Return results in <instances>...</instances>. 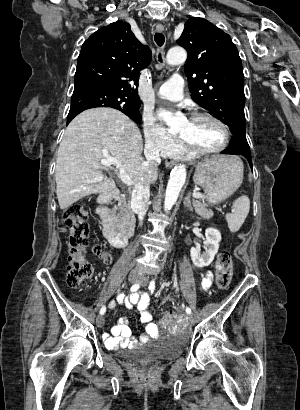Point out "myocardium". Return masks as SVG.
I'll return each instance as SVG.
<instances>
[{"mask_svg":"<svg viewBox=\"0 0 300 410\" xmlns=\"http://www.w3.org/2000/svg\"><path fill=\"white\" fill-rule=\"evenodd\" d=\"M200 119H208V120H211V121L215 122L216 124H218L221 127L222 131H223L224 140H223L222 144L219 147L215 148V149L200 150L197 147H195L194 145H192L186 139L180 137L184 147L186 148V150L190 154L198 156V157L209 156V155H213V154H216V153H219V152L223 151L227 147V145L229 144V141H230V130H229L228 126L226 125V123L223 120H221L219 117H217L213 114L207 113V112H197V113L193 114V116L191 117V120H200Z\"/></svg>","mask_w":300,"mask_h":410,"instance_id":"1","label":"myocardium"}]
</instances>
